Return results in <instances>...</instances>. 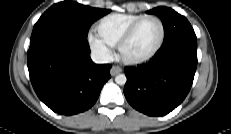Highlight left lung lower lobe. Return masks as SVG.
<instances>
[{"label": "left lung lower lobe", "instance_id": "obj_1", "mask_svg": "<svg viewBox=\"0 0 231 134\" xmlns=\"http://www.w3.org/2000/svg\"><path fill=\"white\" fill-rule=\"evenodd\" d=\"M196 67V38L176 40L162 46L146 65L125 69V97L132 107L144 114L166 115L187 96Z\"/></svg>", "mask_w": 231, "mask_h": 134}]
</instances>
